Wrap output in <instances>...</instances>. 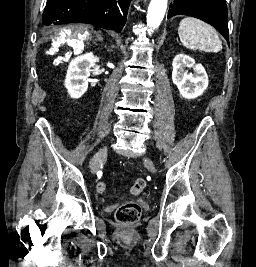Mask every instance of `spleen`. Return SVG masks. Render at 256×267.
<instances>
[{"label": "spleen", "mask_w": 256, "mask_h": 267, "mask_svg": "<svg viewBox=\"0 0 256 267\" xmlns=\"http://www.w3.org/2000/svg\"><path fill=\"white\" fill-rule=\"evenodd\" d=\"M180 42L188 50L199 52H221L222 42L212 26L197 20V18H184L178 28Z\"/></svg>", "instance_id": "1"}]
</instances>
